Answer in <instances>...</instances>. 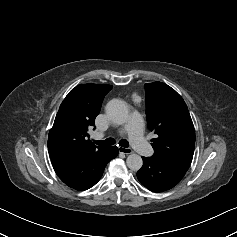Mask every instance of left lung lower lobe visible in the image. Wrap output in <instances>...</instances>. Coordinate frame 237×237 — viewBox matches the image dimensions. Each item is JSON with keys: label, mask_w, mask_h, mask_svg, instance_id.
<instances>
[{"label": "left lung lower lobe", "mask_w": 237, "mask_h": 237, "mask_svg": "<svg viewBox=\"0 0 237 237\" xmlns=\"http://www.w3.org/2000/svg\"><path fill=\"white\" fill-rule=\"evenodd\" d=\"M143 166L137 178L153 192H163L174 187L185 175L186 170L160 162L153 157H143Z\"/></svg>", "instance_id": "left-lung-lower-lobe-1"}]
</instances>
